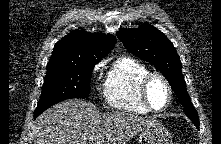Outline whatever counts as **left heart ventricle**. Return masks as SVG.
I'll use <instances>...</instances> for the list:
<instances>
[{"label": "left heart ventricle", "instance_id": "b2bd125f", "mask_svg": "<svg viewBox=\"0 0 221 144\" xmlns=\"http://www.w3.org/2000/svg\"><path fill=\"white\" fill-rule=\"evenodd\" d=\"M148 97L155 109L163 108L168 99V92L164 83L159 79H153L148 88Z\"/></svg>", "mask_w": 221, "mask_h": 144}]
</instances>
